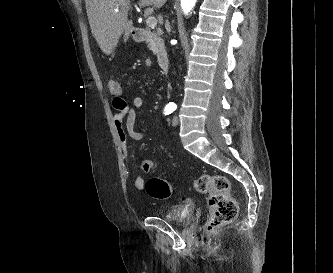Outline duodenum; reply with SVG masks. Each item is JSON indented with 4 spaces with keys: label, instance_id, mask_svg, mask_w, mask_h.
<instances>
[{
    "label": "duodenum",
    "instance_id": "obj_1",
    "mask_svg": "<svg viewBox=\"0 0 333 273\" xmlns=\"http://www.w3.org/2000/svg\"><path fill=\"white\" fill-rule=\"evenodd\" d=\"M132 33L135 40L151 43L154 46L159 66L163 72H167L169 69V55L163 44L161 34L158 31L140 27L133 28Z\"/></svg>",
    "mask_w": 333,
    "mask_h": 273
}]
</instances>
